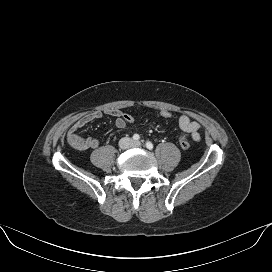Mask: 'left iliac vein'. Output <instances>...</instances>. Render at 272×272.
<instances>
[{
  "mask_svg": "<svg viewBox=\"0 0 272 272\" xmlns=\"http://www.w3.org/2000/svg\"><path fill=\"white\" fill-rule=\"evenodd\" d=\"M134 146L135 147H140L141 146V142H139V141L134 142Z\"/></svg>",
  "mask_w": 272,
  "mask_h": 272,
  "instance_id": "left-iliac-vein-1",
  "label": "left iliac vein"
}]
</instances>
